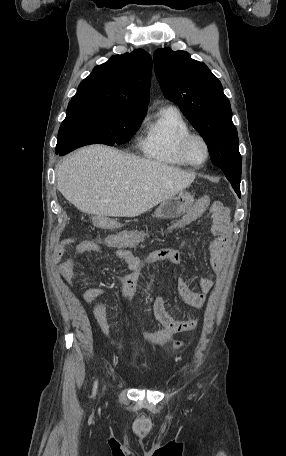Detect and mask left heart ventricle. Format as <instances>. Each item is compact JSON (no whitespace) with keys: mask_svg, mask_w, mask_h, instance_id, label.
I'll list each match as a JSON object with an SVG mask.
<instances>
[{"mask_svg":"<svg viewBox=\"0 0 286 456\" xmlns=\"http://www.w3.org/2000/svg\"><path fill=\"white\" fill-rule=\"evenodd\" d=\"M187 153L193 163H202L206 157V151L201 140L193 138L187 147Z\"/></svg>","mask_w":286,"mask_h":456,"instance_id":"obj_1","label":"left heart ventricle"}]
</instances>
